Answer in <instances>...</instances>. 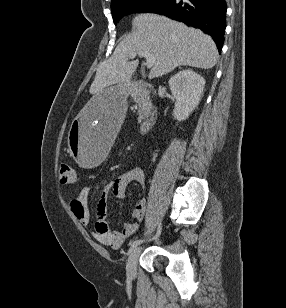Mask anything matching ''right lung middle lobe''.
<instances>
[{"label":"right lung middle lobe","instance_id":"right-lung-middle-lobe-1","mask_svg":"<svg viewBox=\"0 0 286 308\" xmlns=\"http://www.w3.org/2000/svg\"><path fill=\"white\" fill-rule=\"evenodd\" d=\"M168 0H118L111 5L112 16L116 24L123 16L131 13L154 12Z\"/></svg>","mask_w":286,"mask_h":308}]
</instances>
